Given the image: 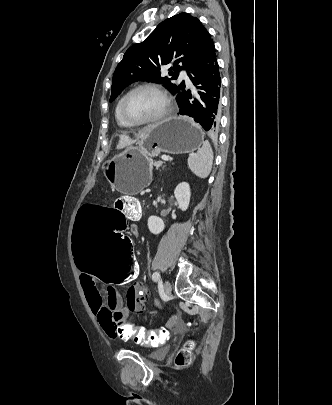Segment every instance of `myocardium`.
<instances>
[{"label":"myocardium","instance_id":"1","mask_svg":"<svg viewBox=\"0 0 332 405\" xmlns=\"http://www.w3.org/2000/svg\"><path fill=\"white\" fill-rule=\"evenodd\" d=\"M141 89H151V90L156 91L162 97L163 102H164V107H163V110L155 117H152V118L146 119V120L135 121V120L130 119L126 115L124 105H125L127 98L132 93H134L138 90H141ZM171 110H172V103H171V99H170L169 95L167 94V92L164 90L163 87H161L160 85L155 84V83H142V84H139V85L133 87L127 93L124 94V96L120 99V103H119V113H120L121 118L126 123L130 124L131 126H142V125H149V124H154V123L160 122L170 114Z\"/></svg>","mask_w":332,"mask_h":405}]
</instances>
